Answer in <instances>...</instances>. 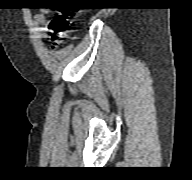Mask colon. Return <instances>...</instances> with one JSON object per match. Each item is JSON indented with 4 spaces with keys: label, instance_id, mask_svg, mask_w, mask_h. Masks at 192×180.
Wrapping results in <instances>:
<instances>
[{
    "label": "colon",
    "instance_id": "5ec220e1",
    "mask_svg": "<svg viewBox=\"0 0 192 180\" xmlns=\"http://www.w3.org/2000/svg\"><path fill=\"white\" fill-rule=\"evenodd\" d=\"M76 13L70 10H60L59 13L53 18L51 26L54 29L52 37V48H57L67 32L71 29L72 20Z\"/></svg>",
    "mask_w": 192,
    "mask_h": 180
}]
</instances>
